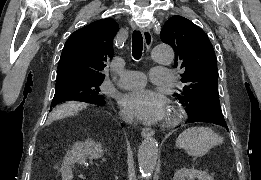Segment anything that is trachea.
<instances>
[{"instance_id": "1", "label": "trachea", "mask_w": 261, "mask_h": 180, "mask_svg": "<svg viewBox=\"0 0 261 180\" xmlns=\"http://www.w3.org/2000/svg\"><path fill=\"white\" fill-rule=\"evenodd\" d=\"M143 51V37L140 31H134L132 35V56L139 60Z\"/></svg>"}]
</instances>
